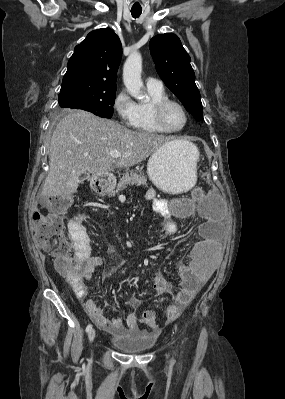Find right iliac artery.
Segmentation results:
<instances>
[{
	"instance_id": "1",
	"label": "right iliac artery",
	"mask_w": 285,
	"mask_h": 399,
	"mask_svg": "<svg viewBox=\"0 0 285 399\" xmlns=\"http://www.w3.org/2000/svg\"><path fill=\"white\" fill-rule=\"evenodd\" d=\"M92 328V325L91 324H88L87 325V327H86V332H89V330Z\"/></svg>"
}]
</instances>
